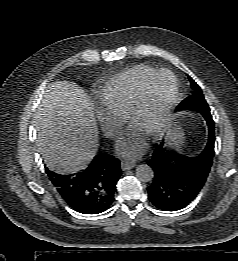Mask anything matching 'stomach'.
Wrapping results in <instances>:
<instances>
[{"label": "stomach", "instance_id": "0dacf381", "mask_svg": "<svg viewBox=\"0 0 238 261\" xmlns=\"http://www.w3.org/2000/svg\"><path fill=\"white\" fill-rule=\"evenodd\" d=\"M181 133L178 131V128L173 127L170 133V143L174 148L179 147Z\"/></svg>", "mask_w": 238, "mask_h": 261}]
</instances>
